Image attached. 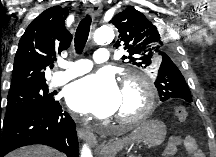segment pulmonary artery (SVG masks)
<instances>
[{"label":"pulmonary artery","instance_id":"e3ab8cb5","mask_svg":"<svg viewBox=\"0 0 216 157\" xmlns=\"http://www.w3.org/2000/svg\"><path fill=\"white\" fill-rule=\"evenodd\" d=\"M109 58V50L104 47L97 49L93 54V60L96 63H106ZM62 67L64 68L63 71L53 74L50 81L51 86L56 87L63 85L68 81L89 72L92 68V62L89 59H80L77 61L66 62Z\"/></svg>","mask_w":216,"mask_h":157}]
</instances>
